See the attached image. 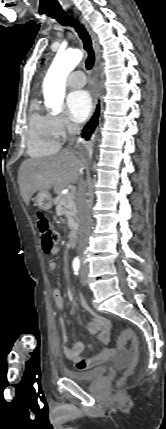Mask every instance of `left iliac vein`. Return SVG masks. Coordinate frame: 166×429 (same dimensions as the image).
I'll use <instances>...</instances> for the list:
<instances>
[{
    "instance_id": "4c4485c4",
    "label": "left iliac vein",
    "mask_w": 166,
    "mask_h": 429,
    "mask_svg": "<svg viewBox=\"0 0 166 429\" xmlns=\"http://www.w3.org/2000/svg\"><path fill=\"white\" fill-rule=\"evenodd\" d=\"M80 280H81L82 285H86L87 279H86V271H85L84 267H81Z\"/></svg>"
}]
</instances>
